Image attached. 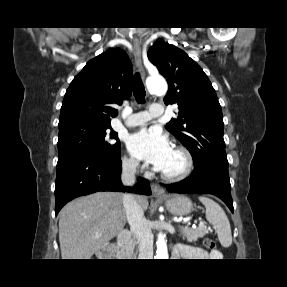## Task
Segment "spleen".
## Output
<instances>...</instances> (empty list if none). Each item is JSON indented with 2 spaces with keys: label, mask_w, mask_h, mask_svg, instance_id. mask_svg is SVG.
Wrapping results in <instances>:
<instances>
[{
  "label": "spleen",
  "mask_w": 287,
  "mask_h": 287,
  "mask_svg": "<svg viewBox=\"0 0 287 287\" xmlns=\"http://www.w3.org/2000/svg\"><path fill=\"white\" fill-rule=\"evenodd\" d=\"M199 200L206 208V219L215 228L221 245L226 248L231 246V227L224 210L218 203L208 197L200 196Z\"/></svg>",
  "instance_id": "obj_1"
}]
</instances>
